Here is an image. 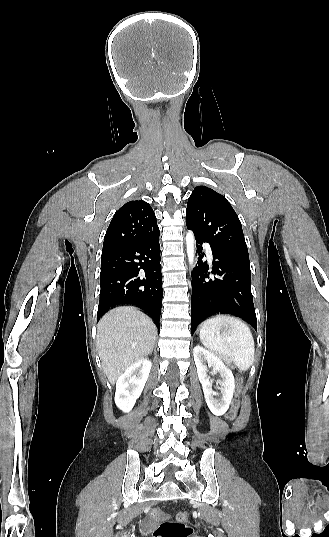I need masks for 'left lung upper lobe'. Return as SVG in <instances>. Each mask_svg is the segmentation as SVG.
<instances>
[{"mask_svg": "<svg viewBox=\"0 0 329 537\" xmlns=\"http://www.w3.org/2000/svg\"><path fill=\"white\" fill-rule=\"evenodd\" d=\"M186 225L212 248L249 262L237 214L225 197L211 188L198 186L194 189L188 199Z\"/></svg>", "mask_w": 329, "mask_h": 537, "instance_id": "5c2ea615", "label": "left lung upper lobe"}]
</instances>
